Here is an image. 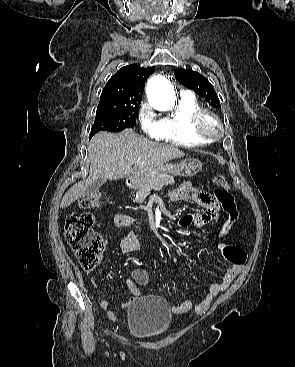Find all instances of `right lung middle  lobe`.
<instances>
[{
	"instance_id": "1",
	"label": "right lung middle lobe",
	"mask_w": 295,
	"mask_h": 367,
	"mask_svg": "<svg viewBox=\"0 0 295 367\" xmlns=\"http://www.w3.org/2000/svg\"><path fill=\"white\" fill-rule=\"evenodd\" d=\"M141 101L100 99L90 137L106 130L118 132L136 125V113Z\"/></svg>"
}]
</instances>
